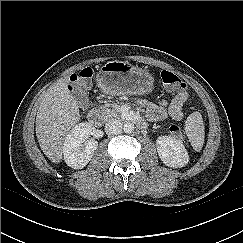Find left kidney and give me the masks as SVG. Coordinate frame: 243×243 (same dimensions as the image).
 Here are the masks:
<instances>
[{"label": "left kidney", "instance_id": "left-kidney-1", "mask_svg": "<svg viewBox=\"0 0 243 243\" xmlns=\"http://www.w3.org/2000/svg\"><path fill=\"white\" fill-rule=\"evenodd\" d=\"M156 147L161 161L169 167L181 168L189 162V155L184 145L171 136H159Z\"/></svg>", "mask_w": 243, "mask_h": 243}]
</instances>
